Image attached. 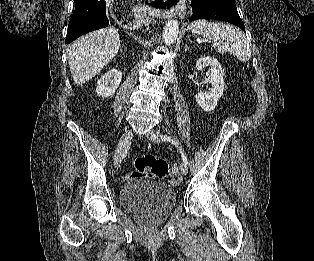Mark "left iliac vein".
<instances>
[{"mask_svg": "<svg viewBox=\"0 0 314 261\" xmlns=\"http://www.w3.org/2000/svg\"><path fill=\"white\" fill-rule=\"evenodd\" d=\"M147 138L153 142V143H158L160 142V138H159V132H157L156 130H150L147 133ZM180 171L183 175H187L188 174V167L187 164H185L184 162L180 163Z\"/></svg>", "mask_w": 314, "mask_h": 261, "instance_id": "left-iliac-vein-1", "label": "left iliac vein"}]
</instances>
